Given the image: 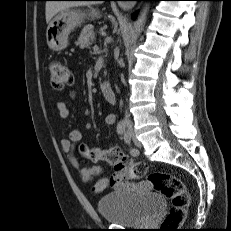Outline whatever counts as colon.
I'll use <instances>...</instances> for the list:
<instances>
[{"label":"colon","instance_id":"1","mask_svg":"<svg viewBox=\"0 0 231 231\" xmlns=\"http://www.w3.org/2000/svg\"><path fill=\"white\" fill-rule=\"evenodd\" d=\"M50 80L52 86L59 90L73 84L71 71L58 60L50 63ZM82 153L92 161H105L111 164L115 172L127 180L145 178L156 191L167 197L171 202V208L161 225V231H176L184 222L190 195L177 177L162 171L149 172L145 163L134 162L118 147L110 149L84 147Z\"/></svg>","mask_w":231,"mask_h":231}]
</instances>
